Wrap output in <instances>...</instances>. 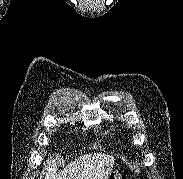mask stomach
<instances>
[{"label":"stomach","mask_w":183,"mask_h":179,"mask_svg":"<svg viewBox=\"0 0 183 179\" xmlns=\"http://www.w3.org/2000/svg\"><path fill=\"white\" fill-rule=\"evenodd\" d=\"M107 179H122V175L118 170H112Z\"/></svg>","instance_id":"obj_1"}]
</instances>
